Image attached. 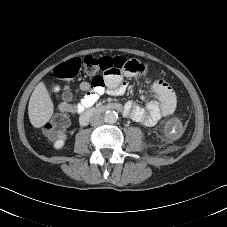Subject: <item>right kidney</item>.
I'll return each instance as SVG.
<instances>
[{
    "label": "right kidney",
    "mask_w": 227,
    "mask_h": 227,
    "mask_svg": "<svg viewBox=\"0 0 227 227\" xmlns=\"http://www.w3.org/2000/svg\"><path fill=\"white\" fill-rule=\"evenodd\" d=\"M64 139H60V140H57L55 143H54V148L56 149H60L64 146Z\"/></svg>",
    "instance_id": "right-kidney-1"
}]
</instances>
